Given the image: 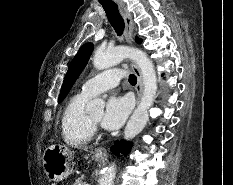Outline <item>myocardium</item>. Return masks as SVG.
I'll use <instances>...</instances> for the list:
<instances>
[{"label": "myocardium", "mask_w": 233, "mask_h": 185, "mask_svg": "<svg viewBox=\"0 0 233 185\" xmlns=\"http://www.w3.org/2000/svg\"><path fill=\"white\" fill-rule=\"evenodd\" d=\"M89 121H90V123H91L93 129L97 128L98 122L95 121V120H93V119L91 118V116H89Z\"/></svg>", "instance_id": "f54148a6"}]
</instances>
